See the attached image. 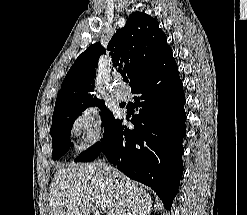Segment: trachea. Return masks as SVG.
<instances>
[{
	"instance_id": "obj_1",
	"label": "trachea",
	"mask_w": 247,
	"mask_h": 215,
	"mask_svg": "<svg viewBox=\"0 0 247 215\" xmlns=\"http://www.w3.org/2000/svg\"><path fill=\"white\" fill-rule=\"evenodd\" d=\"M123 81L126 82V83H128L129 80H128L127 77H123Z\"/></svg>"
}]
</instances>
